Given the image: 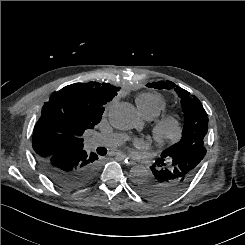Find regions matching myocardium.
I'll list each match as a JSON object with an SVG mask.
<instances>
[{
  "instance_id": "obj_1",
  "label": "myocardium",
  "mask_w": 245,
  "mask_h": 245,
  "mask_svg": "<svg viewBox=\"0 0 245 245\" xmlns=\"http://www.w3.org/2000/svg\"><path fill=\"white\" fill-rule=\"evenodd\" d=\"M153 139L158 144H174L183 136L184 121L180 113L170 111L161 115L151 127Z\"/></svg>"
}]
</instances>
